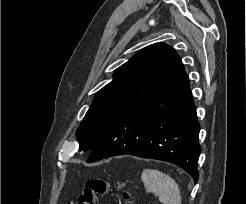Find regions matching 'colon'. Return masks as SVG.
I'll use <instances>...</instances> for the list:
<instances>
[{
  "label": "colon",
  "mask_w": 246,
  "mask_h": 204,
  "mask_svg": "<svg viewBox=\"0 0 246 204\" xmlns=\"http://www.w3.org/2000/svg\"><path fill=\"white\" fill-rule=\"evenodd\" d=\"M109 183L101 178L89 179L81 193L78 196L77 204H96L98 198L104 196L108 189ZM117 188H124V183L119 182L116 184ZM123 198L126 200L127 204L130 203L131 194L127 189L123 190Z\"/></svg>",
  "instance_id": "5ec220e1"
}]
</instances>
